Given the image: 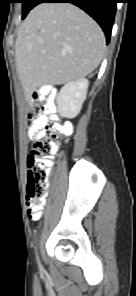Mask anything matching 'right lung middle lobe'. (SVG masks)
<instances>
[{
  "label": "right lung middle lobe",
  "mask_w": 136,
  "mask_h": 296,
  "mask_svg": "<svg viewBox=\"0 0 136 296\" xmlns=\"http://www.w3.org/2000/svg\"><path fill=\"white\" fill-rule=\"evenodd\" d=\"M40 0H21L20 2L23 3V16L22 19L26 17L28 12L34 8L36 5L39 4Z\"/></svg>",
  "instance_id": "right-lung-middle-lobe-1"
}]
</instances>
